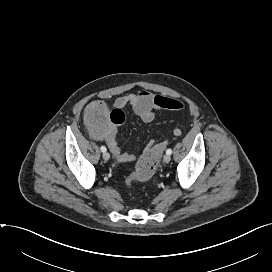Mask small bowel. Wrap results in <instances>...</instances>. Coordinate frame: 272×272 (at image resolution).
Listing matches in <instances>:
<instances>
[{"instance_id":"obj_1","label":"small bowel","mask_w":272,"mask_h":272,"mask_svg":"<svg viewBox=\"0 0 272 272\" xmlns=\"http://www.w3.org/2000/svg\"><path fill=\"white\" fill-rule=\"evenodd\" d=\"M117 109H123L130 106L134 113L139 116L144 122H152L156 115L162 111H175L183 108V103L177 99L154 95L148 91H140L137 94H125L118 97L114 103ZM182 133V127L177 126L173 129V134L179 136ZM117 130L112 127L105 133L100 135H93L95 139L103 140L106 142L113 156L120 162H131L135 160L133 154L123 152L116 140ZM153 144L150 141L146 149Z\"/></svg>"}]
</instances>
